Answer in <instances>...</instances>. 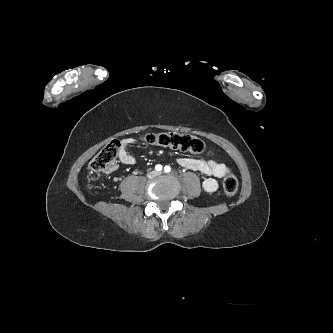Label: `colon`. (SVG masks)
I'll return each mask as SVG.
<instances>
[{
	"label": "colon",
	"instance_id": "obj_1",
	"mask_svg": "<svg viewBox=\"0 0 333 333\" xmlns=\"http://www.w3.org/2000/svg\"><path fill=\"white\" fill-rule=\"evenodd\" d=\"M144 142L150 145L177 149L192 154H211L206 143L189 134L177 132L150 133L143 137ZM120 143L111 141L90 162L89 168L93 172H106L116 167ZM223 191L226 196L233 197L238 191V180L230 170L223 179Z\"/></svg>",
	"mask_w": 333,
	"mask_h": 333
}]
</instances>
